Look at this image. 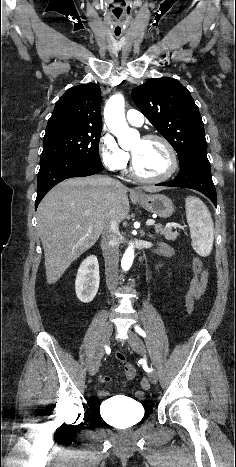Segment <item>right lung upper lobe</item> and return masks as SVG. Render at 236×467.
<instances>
[{"mask_svg": "<svg viewBox=\"0 0 236 467\" xmlns=\"http://www.w3.org/2000/svg\"><path fill=\"white\" fill-rule=\"evenodd\" d=\"M100 92L95 83L68 89L57 101L46 128L59 125L101 128Z\"/></svg>", "mask_w": 236, "mask_h": 467, "instance_id": "obj_1", "label": "right lung upper lobe"}]
</instances>
